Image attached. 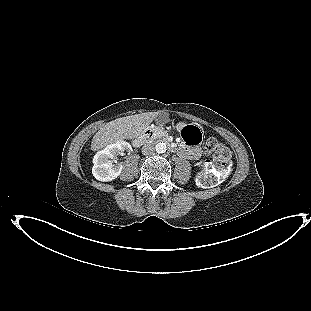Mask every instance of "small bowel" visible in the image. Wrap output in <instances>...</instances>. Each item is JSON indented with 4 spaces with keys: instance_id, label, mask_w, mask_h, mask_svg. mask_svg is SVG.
<instances>
[{
    "instance_id": "c3829d8e",
    "label": "small bowel",
    "mask_w": 311,
    "mask_h": 311,
    "mask_svg": "<svg viewBox=\"0 0 311 311\" xmlns=\"http://www.w3.org/2000/svg\"><path fill=\"white\" fill-rule=\"evenodd\" d=\"M185 126L183 123H178L177 128L179 130H182ZM190 140H188L186 137H183V142L180 147V154L182 156L191 158V159H197L200 155V151L197 147L194 146Z\"/></svg>"
}]
</instances>
